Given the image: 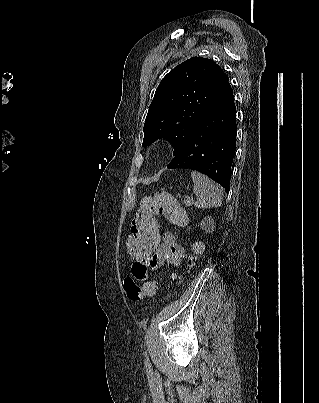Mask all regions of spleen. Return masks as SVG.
I'll use <instances>...</instances> for the list:
<instances>
[{
	"instance_id": "spleen-1",
	"label": "spleen",
	"mask_w": 319,
	"mask_h": 403,
	"mask_svg": "<svg viewBox=\"0 0 319 403\" xmlns=\"http://www.w3.org/2000/svg\"><path fill=\"white\" fill-rule=\"evenodd\" d=\"M193 191L197 196L195 206L198 208L218 207L223 201L219 186L200 172L192 171Z\"/></svg>"
}]
</instances>
